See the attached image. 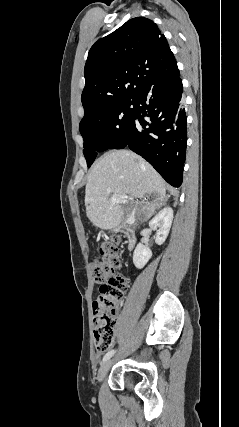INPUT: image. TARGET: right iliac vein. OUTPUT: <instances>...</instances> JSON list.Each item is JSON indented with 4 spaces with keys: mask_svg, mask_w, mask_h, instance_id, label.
I'll use <instances>...</instances> for the list:
<instances>
[{
    "mask_svg": "<svg viewBox=\"0 0 239 427\" xmlns=\"http://www.w3.org/2000/svg\"><path fill=\"white\" fill-rule=\"evenodd\" d=\"M110 365H111V360H107L101 364L99 371H98V374H97V380L99 382H101L104 379V377L106 376V374L110 368Z\"/></svg>",
    "mask_w": 239,
    "mask_h": 427,
    "instance_id": "right-iliac-vein-1",
    "label": "right iliac vein"
}]
</instances>
